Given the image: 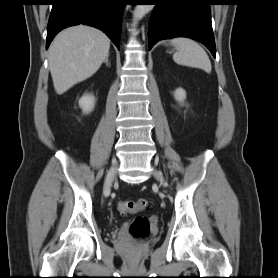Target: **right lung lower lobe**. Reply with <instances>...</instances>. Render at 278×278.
<instances>
[{"mask_svg":"<svg viewBox=\"0 0 278 278\" xmlns=\"http://www.w3.org/2000/svg\"><path fill=\"white\" fill-rule=\"evenodd\" d=\"M46 49L62 29L87 24L105 32L120 48L121 23L126 0H52Z\"/></svg>","mask_w":278,"mask_h":278,"instance_id":"obj_1","label":"right lung lower lobe"}]
</instances>
